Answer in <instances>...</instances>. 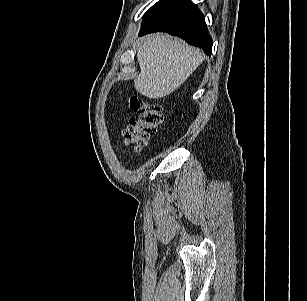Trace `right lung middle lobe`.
I'll return each mask as SVG.
<instances>
[{"label":"right lung middle lobe","instance_id":"1","mask_svg":"<svg viewBox=\"0 0 307 301\" xmlns=\"http://www.w3.org/2000/svg\"><path fill=\"white\" fill-rule=\"evenodd\" d=\"M168 0H159L156 4H154L143 16V18L147 17L149 14L160 8L164 5Z\"/></svg>","mask_w":307,"mask_h":301}]
</instances>
